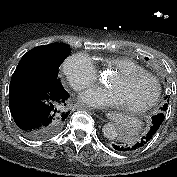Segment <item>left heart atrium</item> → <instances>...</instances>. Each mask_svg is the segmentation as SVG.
Wrapping results in <instances>:
<instances>
[{
	"instance_id": "39dd6f15",
	"label": "left heart atrium",
	"mask_w": 177,
	"mask_h": 177,
	"mask_svg": "<svg viewBox=\"0 0 177 177\" xmlns=\"http://www.w3.org/2000/svg\"><path fill=\"white\" fill-rule=\"evenodd\" d=\"M81 100L90 106L99 108L122 105L118 93L110 87H92L82 93Z\"/></svg>"
}]
</instances>
